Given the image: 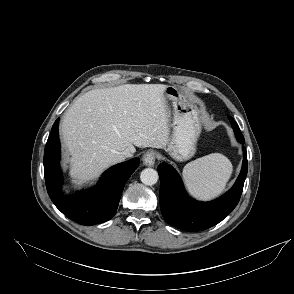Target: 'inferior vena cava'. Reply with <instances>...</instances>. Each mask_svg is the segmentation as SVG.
I'll use <instances>...</instances> for the list:
<instances>
[{
	"instance_id": "1",
	"label": "inferior vena cava",
	"mask_w": 294,
	"mask_h": 294,
	"mask_svg": "<svg viewBox=\"0 0 294 294\" xmlns=\"http://www.w3.org/2000/svg\"><path fill=\"white\" fill-rule=\"evenodd\" d=\"M121 154L124 158H129L133 156V152L130 149L124 150Z\"/></svg>"
}]
</instances>
